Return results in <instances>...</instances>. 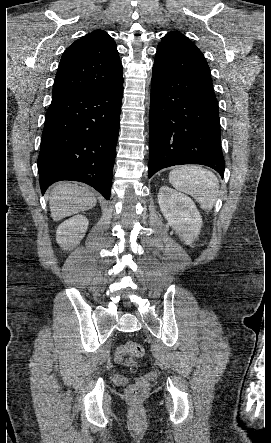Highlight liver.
Returning a JSON list of instances; mask_svg holds the SVG:
<instances>
[{
    "mask_svg": "<svg viewBox=\"0 0 271 443\" xmlns=\"http://www.w3.org/2000/svg\"><path fill=\"white\" fill-rule=\"evenodd\" d=\"M49 204L51 218L54 222H58L67 216L90 210L96 206L97 200L88 188H82L79 184L62 182L54 186L50 192Z\"/></svg>",
    "mask_w": 271,
    "mask_h": 443,
    "instance_id": "obj_1",
    "label": "liver"
}]
</instances>
